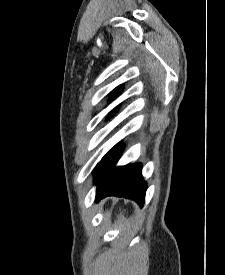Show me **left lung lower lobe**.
<instances>
[{"instance_id":"left-lung-lower-lobe-1","label":"left lung lower lobe","mask_w":225,"mask_h":275,"mask_svg":"<svg viewBox=\"0 0 225 275\" xmlns=\"http://www.w3.org/2000/svg\"><path fill=\"white\" fill-rule=\"evenodd\" d=\"M122 154V148L116 146L101 160L96 174V199L107 196L125 197L144 204L147 184L144 182L140 163L115 167Z\"/></svg>"}]
</instances>
